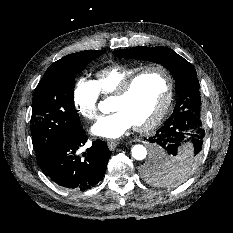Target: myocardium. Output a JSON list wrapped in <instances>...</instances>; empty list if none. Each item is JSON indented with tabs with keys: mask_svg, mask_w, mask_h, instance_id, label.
Wrapping results in <instances>:
<instances>
[{
	"mask_svg": "<svg viewBox=\"0 0 233 233\" xmlns=\"http://www.w3.org/2000/svg\"><path fill=\"white\" fill-rule=\"evenodd\" d=\"M150 70H159L165 75L167 81L166 95L160 109L149 121L144 124L134 126V129L138 132H148L154 129L167 114L172 103L174 92V82L170 71L160 64L146 65L125 79L117 88V90L112 94V98L124 97L129 92L136 80L142 74Z\"/></svg>",
	"mask_w": 233,
	"mask_h": 233,
	"instance_id": "f54148a6",
	"label": "myocardium"
}]
</instances>
